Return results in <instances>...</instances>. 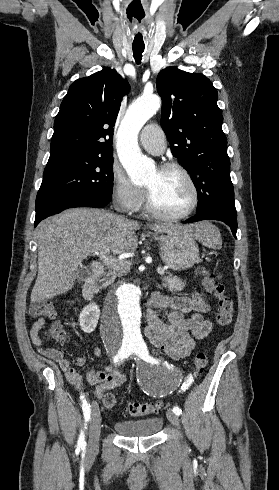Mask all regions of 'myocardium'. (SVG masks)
I'll list each match as a JSON object with an SVG mask.
<instances>
[{
  "label": "myocardium",
  "mask_w": 279,
  "mask_h": 490,
  "mask_svg": "<svg viewBox=\"0 0 279 490\" xmlns=\"http://www.w3.org/2000/svg\"><path fill=\"white\" fill-rule=\"evenodd\" d=\"M160 171H175V172L180 173L186 179V181L189 184V187L191 189V192H192L191 201L187 205V207L184 210H182L181 212H179L177 214H167V213L162 212L161 210H159L156 207V205L152 199V196H151L150 188L147 187V209H148L150 214H152L154 217H156L160 220H163V221H179V220H182L185 217L189 216L198 206L199 199H200L198 186H197L194 178L190 174V172L185 167H183L182 165H180L178 163H174V162L166 163L160 168Z\"/></svg>",
  "instance_id": "obj_1"
}]
</instances>
